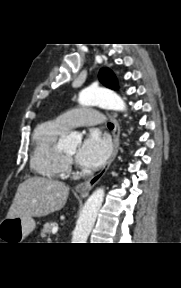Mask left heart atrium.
I'll return each mask as SVG.
<instances>
[{"label": "left heart atrium", "instance_id": "obj_1", "mask_svg": "<svg viewBox=\"0 0 181 288\" xmlns=\"http://www.w3.org/2000/svg\"><path fill=\"white\" fill-rule=\"evenodd\" d=\"M111 145L99 132L91 131L83 140L76 153L77 162L89 169L99 167L109 156Z\"/></svg>", "mask_w": 181, "mask_h": 288}]
</instances>
